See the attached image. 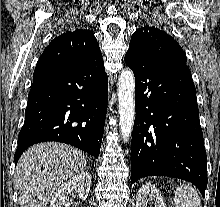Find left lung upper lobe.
<instances>
[{"instance_id":"obj_1","label":"left lung upper lobe","mask_w":220,"mask_h":207,"mask_svg":"<svg viewBox=\"0 0 220 207\" xmlns=\"http://www.w3.org/2000/svg\"><path fill=\"white\" fill-rule=\"evenodd\" d=\"M128 52L157 64L187 65L186 55L178 42L157 27L144 26L136 30L132 35Z\"/></svg>"}]
</instances>
